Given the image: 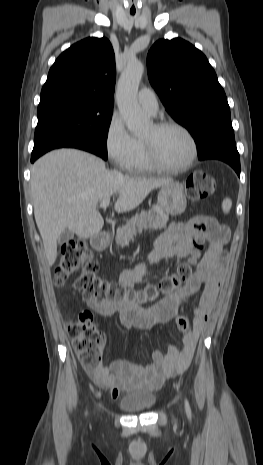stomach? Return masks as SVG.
Masks as SVG:
<instances>
[{
  "label": "stomach",
  "instance_id": "0dacf381",
  "mask_svg": "<svg viewBox=\"0 0 263 465\" xmlns=\"http://www.w3.org/2000/svg\"><path fill=\"white\" fill-rule=\"evenodd\" d=\"M158 204L167 214H182L187 206L183 185L178 182H172L162 186L158 193Z\"/></svg>",
  "mask_w": 263,
  "mask_h": 465
}]
</instances>
